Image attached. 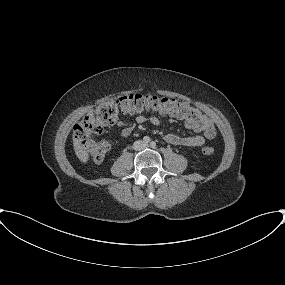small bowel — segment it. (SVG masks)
Here are the masks:
<instances>
[{
    "instance_id": "c3829d8e",
    "label": "small bowel",
    "mask_w": 285,
    "mask_h": 285,
    "mask_svg": "<svg viewBox=\"0 0 285 285\" xmlns=\"http://www.w3.org/2000/svg\"><path fill=\"white\" fill-rule=\"evenodd\" d=\"M150 122L153 125H159L160 124V118L158 116H151L150 117ZM147 121V117L143 113H138L135 116V122H127L124 120H118L116 125L121 129L120 136L122 138H128L134 128L135 124H143L144 122ZM186 127L200 131L190 125L187 121H185ZM207 139H212L214 136H209L204 133L202 134H195V135H189V136H184V135H178L175 133H168L164 136V141L167 143L173 144V145H181V146H186V147H198L202 146L205 143V140Z\"/></svg>"
}]
</instances>
